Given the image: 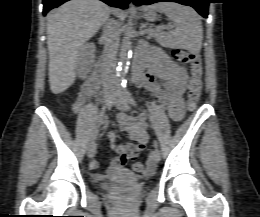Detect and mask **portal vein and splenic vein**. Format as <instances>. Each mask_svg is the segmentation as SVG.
I'll list each match as a JSON object with an SVG mask.
<instances>
[{
    "label": "portal vein and splenic vein",
    "mask_w": 260,
    "mask_h": 217,
    "mask_svg": "<svg viewBox=\"0 0 260 217\" xmlns=\"http://www.w3.org/2000/svg\"><path fill=\"white\" fill-rule=\"evenodd\" d=\"M150 30H144L142 33L145 34V33H148Z\"/></svg>",
    "instance_id": "obj_1"
}]
</instances>
